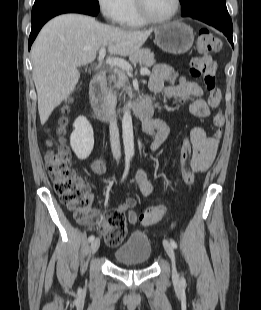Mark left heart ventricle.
I'll use <instances>...</instances> for the list:
<instances>
[{"label": "left heart ventricle", "mask_w": 261, "mask_h": 310, "mask_svg": "<svg viewBox=\"0 0 261 310\" xmlns=\"http://www.w3.org/2000/svg\"><path fill=\"white\" fill-rule=\"evenodd\" d=\"M149 14L155 18L170 15L175 8V0H144Z\"/></svg>", "instance_id": "b2bd125f"}]
</instances>
